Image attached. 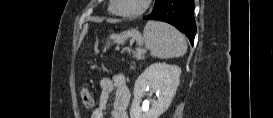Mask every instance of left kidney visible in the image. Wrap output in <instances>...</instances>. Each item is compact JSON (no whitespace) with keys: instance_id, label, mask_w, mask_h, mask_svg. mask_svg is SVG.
Instances as JSON below:
<instances>
[{"instance_id":"left-kidney-1","label":"left kidney","mask_w":273,"mask_h":118,"mask_svg":"<svg viewBox=\"0 0 273 118\" xmlns=\"http://www.w3.org/2000/svg\"><path fill=\"white\" fill-rule=\"evenodd\" d=\"M181 69L175 65L156 63L149 66L136 80L134 99L130 108L131 118H159L168 107L180 84ZM149 88L150 96L158 92V99L151 100V108H141L142 97Z\"/></svg>"}]
</instances>
